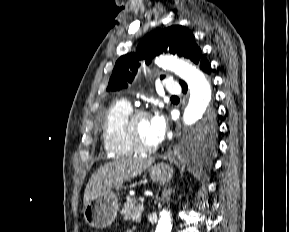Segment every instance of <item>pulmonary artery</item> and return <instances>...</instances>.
I'll return each mask as SVG.
<instances>
[{
    "instance_id": "obj_1",
    "label": "pulmonary artery",
    "mask_w": 289,
    "mask_h": 232,
    "mask_svg": "<svg viewBox=\"0 0 289 232\" xmlns=\"http://www.w3.org/2000/svg\"><path fill=\"white\" fill-rule=\"evenodd\" d=\"M165 88L169 94H179L181 92L180 84L171 79L167 80Z\"/></svg>"
}]
</instances>
